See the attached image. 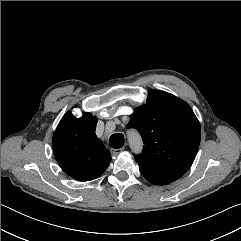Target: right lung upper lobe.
Here are the masks:
<instances>
[{
  "label": "right lung upper lobe",
  "instance_id": "right-lung-upper-lobe-1",
  "mask_svg": "<svg viewBox=\"0 0 241 241\" xmlns=\"http://www.w3.org/2000/svg\"><path fill=\"white\" fill-rule=\"evenodd\" d=\"M97 121L90 113L76 118L68 111L53 135V153L58 164L78 181L99 177L111 161L110 152L95 134Z\"/></svg>",
  "mask_w": 241,
  "mask_h": 241
}]
</instances>
